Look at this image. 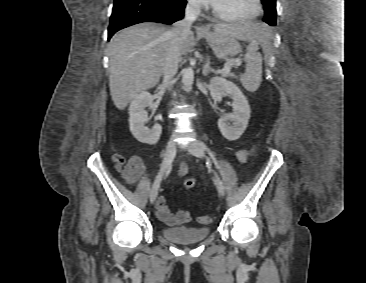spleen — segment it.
<instances>
[{
    "mask_svg": "<svg viewBox=\"0 0 366 283\" xmlns=\"http://www.w3.org/2000/svg\"><path fill=\"white\" fill-rule=\"evenodd\" d=\"M258 42L250 40L245 54L246 71L240 76L243 87L250 92L256 91L262 81V56L258 52Z\"/></svg>",
    "mask_w": 366,
    "mask_h": 283,
    "instance_id": "spleen-1",
    "label": "spleen"
}]
</instances>
